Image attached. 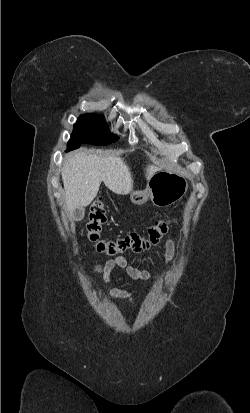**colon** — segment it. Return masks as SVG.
Here are the masks:
<instances>
[{
	"label": "colon",
	"instance_id": "1",
	"mask_svg": "<svg viewBox=\"0 0 250 413\" xmlns=\"http://www.w3.org/2000/svg\"><path fill=\"white\" fill-rule=\"evenodd\" d=\"M105 222L106 206L101 199H97L90 208L87 236L98 252L111 256L126 251L141 252L148 250L161 240L170 225L168 220H159L150 226L145 234L131 232L115 240H104L101 238V230Z\"/></svg>",
	"mask_w": 250,
	"mask_h": 413
}]
</instances>
